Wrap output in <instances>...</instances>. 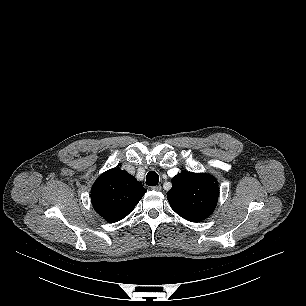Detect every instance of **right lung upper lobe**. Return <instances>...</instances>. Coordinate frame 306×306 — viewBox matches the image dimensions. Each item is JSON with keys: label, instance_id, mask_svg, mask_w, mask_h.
Wrapping results in <instances>:
<instances>
[{"label": "right lung upper lobe", "instance_id": "cb5924a9", "mask_svg": "<svg viewBox=\"0 0 306 306\" xmlns=\"http://www.w3.org/2000/svg\"><path fill=\"white\" fill-rule=\"evenodd\" d=\"M146 192L134 176L113 168L95 181L91 188V201L99 215L114 223L126 217Z\"/></svg>", "mask_w": 306, "mask_h": 306}]
</instances>
